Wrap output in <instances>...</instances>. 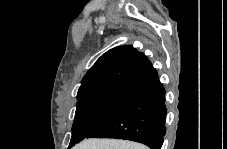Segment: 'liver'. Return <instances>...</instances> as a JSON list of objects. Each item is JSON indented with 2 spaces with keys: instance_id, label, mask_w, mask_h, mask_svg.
Masks as SVG:
<instances>
[{
  "instance_id": "6515ba94",
  "label": "liver",
  "mask_w": 227,
  "mask_h": 149,
  "mask_svg": "<svg viewBox=\"0 0 227 149\" xmlns=\"http://www.w3.org/2000/svg\"><path fill=\"white\" fill-rule=\"evenodd\" d=\"M76 149H147L139 143L117 139H87Z\"/></svg>"
}]
</instances>
